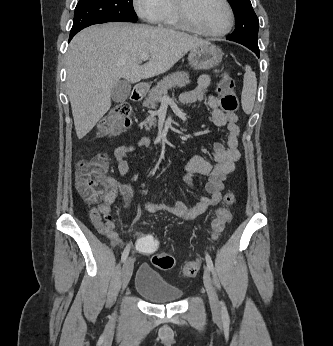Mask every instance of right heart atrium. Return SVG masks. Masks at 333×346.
<instances>
[{
	"label": "right heart atrium",
	"mask_w": 333,
	"mask_h": 346,
	"mask_svg": "<svg viewBox=\"0 0 333 346\" xmlns=\"http://www.w3.org/2000/svg\"><path fill=\"white\" fill-rule=\"evenodd\" d=\"M132 3L139 17L152 24L161 20L167 7V0H132Z\"/></svg>",
	"instance_id": "obj_1"
}]
</instances>
